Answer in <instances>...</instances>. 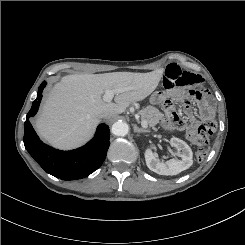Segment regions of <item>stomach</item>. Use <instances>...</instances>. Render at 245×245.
Segmentation results:
<instances>
[{"instance_id":"stomach-1","label":"stomach","mask_w":245,"mask_h":245,"mask_svg":"<svg viewBox=\"0 0 245 245\" xmlns=\"http://www.w3.org/2000/svg\"><path fill=\"white\" fill-rule=\"evenodd\" d=\"M167 99V93L164 90H156L150 96L152 105H161Z\"/></svg>"}]
</instances>
